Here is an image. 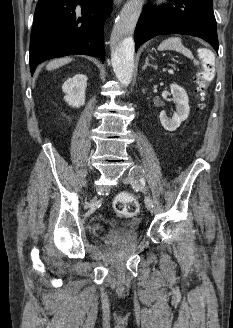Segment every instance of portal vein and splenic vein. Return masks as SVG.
I'll return each mask as SVG.
<instances>
[{
  "mask_svg": "<svg viewBox=\"0 0 233 328\" xmlns=\"http://www.w3.org/2000/svg\"><path fill=\"white\" fill-rule=\"evenodd\" d=\"M168 73H169V74H173L174 72H173L172 69H169V70H168Z\"/></svg>",
  "mask_w": 233,
  "mask_h": 328,
  "instance_id": "obj_1",
  "label": "portal vein and splenic vein"
}]
</instances>
